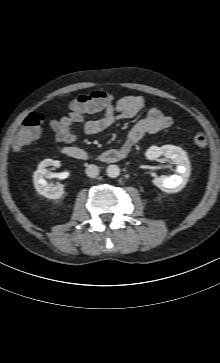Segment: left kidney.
Segmentation results:
<instances>
[{
  "mask_svg": "<svg viewBox=\"0 0 220 363\" xmlns=\"http://www.w3.org/2000/svg\"><path fill=\"white\" fill-rule=\"evenodd\" d=\"M161 155L170 159L177 165L176 173L171 176H160L153 180L154 185L167 193L179 192L185 187L190 175L191 167L186 153L174 145H164L162 147H150L146 152V157L155 160Z\"/></svg>",
  "mask_w": 220,
  "mask_h": 363,
  "instance_id": "5707ae66",
  "label": "left kidney"
}]
</instances>
